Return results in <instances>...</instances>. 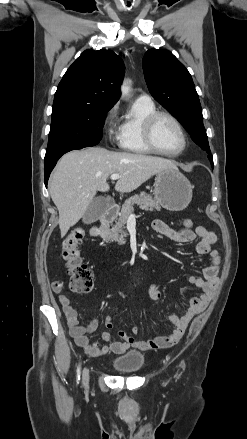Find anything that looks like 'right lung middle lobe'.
Returning a JSON list of instances; mask_svg holds the SVG:
<instances>
[{
  "label": "right lung middle lobe",
  "mask_w": 247,
  "mask_h": 439,
  "mask_svg": "<svg viewBox=\"0 0 247 439\" xmlns=\"http://www.w3.org/2000/svg\"><path fill=\"white\" fill-rule=\"evenodd\" d=\"M111 108L80 105L53 107L45 166L66 152L97 145L102 138L106 114Z\"/></svg>",
  "instance_id": "1"
}]
</instances>
